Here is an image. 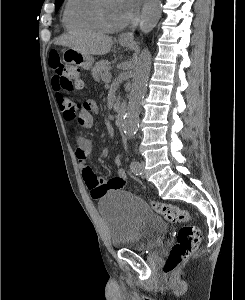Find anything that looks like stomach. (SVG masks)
Instances as JSON below:
<instances>
[{
  "label": "stomach",
  "mask_w": 245,
  "mask_h": 300,
  "mask_svg": "<svg viewBox=\"0 0 245 300\" xmlns=\"http://www.w3.org/2000/svg\"><path fill=\"white\" fill-rule=\"evenodd\" d=\"M123 46L128 47L130 43H121ZM63 61L67 64L81 67L85 70H90L93 65V57L88 54L81 53L75 49L68 48L63 52Z\"/></svg>",
  "instance_id": "obj_1"
}]
</instances>
